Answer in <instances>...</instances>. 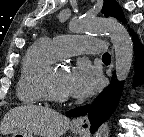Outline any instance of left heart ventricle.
<instances>
[{
	"instance_id": "obj_1",
	"label": "left heart ventricle",
	"mask_w": 144,
	"mask_h": 137,
	"mask_svg": "<svg viewBox=\"0 0 144 137\" xmlns=\"http://www.w3.org/2000/svg\"><path fill=\"white\" fill-rule=\"evenodd\" d=\"M69 75V70L63 67H57L54 74L55 86L61 93L68 95L66 91V81Z\"/></svg>"
}]
</instances>
